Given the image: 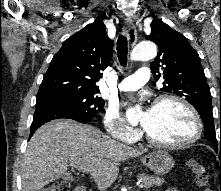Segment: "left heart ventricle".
<instances>
[{"mask_svg":"<svg viewBox=\"0 0 221 191\" xmlns=\"http://www.w3.org/2000/svg\"><path fill=\"white\" fill-rule=\"evenodd\" d=\"M144 130L156 140L177 143L190 138L195 124L186 108L174 101H165L140 118Z\"/></svg>","mask_w":221,"mask_h":191,"instance_id":"left-heart-ventricle-1","label":"left heart ventricle"}]
</instances>
